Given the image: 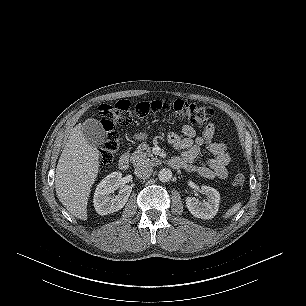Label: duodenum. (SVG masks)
Here are the masks:
<instances>
[{
	"instance_id": "obj_1",
	"label": "duodenum",
	"mask_w": 306,
	"mask_h": 306,
	"mask_svg": "<svg viewBox=\"0 0 306 306\" xmlns=\"http://www.w3.org/2000/svg\"><path fill=\"white\" fill-rule=\"evenodd\" d=\"M130 164V157L128 152H125L121 155L118 161V167L120 170H127ZM170 165L174 168H180V165L178 163H174L173 161H170Z\"/></svg>"
}]
</instances>
